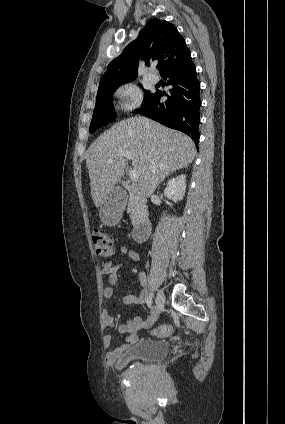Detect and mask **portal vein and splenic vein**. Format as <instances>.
<instances>
[{
    "mask_svg": "<svg viewBox=\"0 0 285 424\" xmlns=\"http://www.w3.org/2000/svg\"><path fill=\"white\" fill-rule=\"evenodd\" d=\"M116 155L123 156L125 159H128V160H131L132 159L131 155L129 153H127V152L120 151V152H117ZM111 162H112V159L109 161V163H111ZM129 177H130V180L132 182H136L138 180V178H139V174H138L137 170L136 169H131L129 171Z\"/></svg>",
    "mask_w": 285,
    "mask_h": 424,
    "instance_id": "portal-vein-and-splenic-vein-1",
    "label": "portal vein and splenic vein"
}]
</instances>
